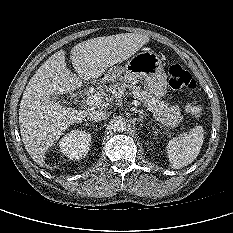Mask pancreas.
<instances>
[{
    "mask_svg": "<svg viewBox=\"0 0 233 233\" xmlns=\"http://www.w3.org/2000/svg\"><path fill=\"white\" fill-rule=\"evenodd\" d=\"M125 88H129L132 91L133 97L141 101L148 110L154 112L166 126L175 127L182 120L178 106H169L164 101L152 95L149 91L142 90L140 86L134 83L110 85V90L115 92H120Z\"/></svg>",
    "mask_w": 233,
    "mask_h": 233,
    "instance_id": "cf45deb5",
    "label": "pancreas"
}]
</instances>
